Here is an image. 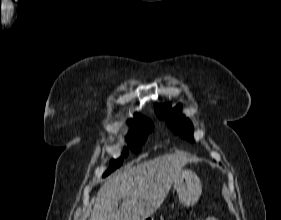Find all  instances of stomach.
<instances>
[{"label":"stomach","instance_id":"obj_1","mask_svg":"<svg viewBox=\"0 0 281 220\" xmlns=\"http://www.w3.org/2000/svg\"><path fill=\"white\" fill-rule=\"evenodd\" d=\"M180 203L184 206L194 205L201 194L202 186L198 176L191 170H181L173 181Z\"/></svg>","mask_w":281,"mask_h":220}]
</instances>
